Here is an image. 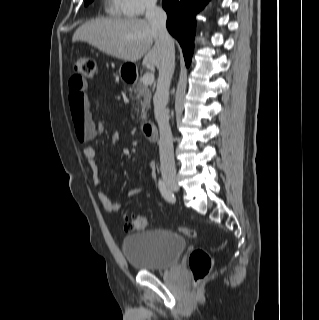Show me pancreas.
I'll return each mask as SVG.
<instances>
[{
  "mask_svg": "<svg viewBox=\"0 0 319 320\" xmlns=\"http://www.w3.org/2000/svg\"><path fill=\"white\" fill-rule=\"evenodd\" d=\"M130 92V98L133 101H136V105L139 107L141 105L142 112H141V118L146 119L147 118V112L149 111L151 107V91L148 88L147 85L141 83V82H135L133 85L129 88ZM137 112L139 111L138 108L136 109Z\"/></svg>",
  "mask_w": 319,
  "mask_h": 320,
  "instance_id": "1",
  "label": "pancreas"
}]
</instances>
